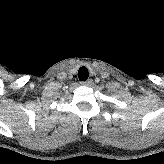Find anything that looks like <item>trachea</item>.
<instances>
[{"label": "trachea", "mask_w": 164, "mask_h": 164, "mask_svg": "<svg viewBox=\"0 0 164 164\" xmlns=\"http://www.w3.org/2000/svg\"><path fill=\"white\" fill-rule=\"evenodd\" d=\"M88 76L89 72L86 67L83 66L78 70V78L80 81H86L88 79Z\"/></svg>", "instance_id": "trachea-1"}]
</instances>
